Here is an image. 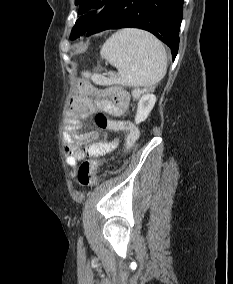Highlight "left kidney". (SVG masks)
Wrapping results in <instances>:
<instances>
[{"mask_svg":"<svg viewBox=\"0 0 233 284\" xmlns=\"http://www.w3.org/2000/svg\"><path fill=\"white\" fill-rule=\"evenodd\" d=\"M156 103V96L150 93L142 95L138 102L137 113L135 116L136 124H139L147 119Z\"/></svg>","mask_w":233,"mask_h":284,"instance_id":"obj_1","label":"left kidney"}]
</instances>
